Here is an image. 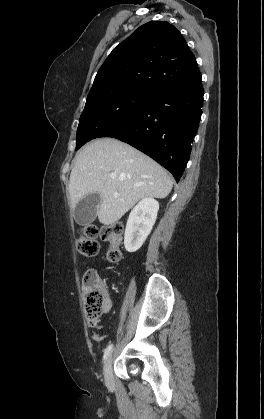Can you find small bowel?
<instances>
[{
  "label": "small bowel",
  "instance_id": "small-bowel-1",
  "mask_svg": "<svg viewBox=\"0 0 264 419\" xmlns=\"http://www.w3.org/2000/svg\"><path fill=\"white\" fill-rule=\"evenodd\" d=\"M91 271H95V270H91ZM111 304H110V300L108 299L106 306L104 308V312L107 313L110 310ZM105 338V336H100L98 334H93L92 335V339L96 342H101L103 339Z\"/></svg>",
  "mask_w": 264,
  "mask_h": 419
}]
</instances>
